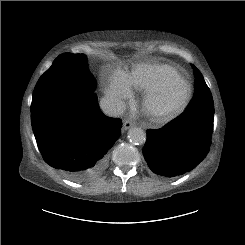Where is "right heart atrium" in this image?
Segmentation results:
<instances>
[{"mask_svg":"<svg viewBox=\"0 0 245 245\" xmlns=\"http://www.w3.org/2000/svg\"><path fill=\"white\" fill-rule=\"evenodd\" d=\"M106 95L120 104L131 97L132 91L126 74L119 69L112 71L105 81Z\"/></svg>","mask_w":245,"mask_h":245,"instance_id":"obj_1","label":"right heart atrium"}]
</instances>
